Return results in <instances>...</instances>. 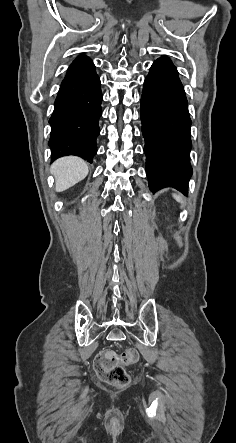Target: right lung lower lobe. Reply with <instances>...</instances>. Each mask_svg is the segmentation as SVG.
<instances>
[{
	"label": "right lung lower lobe",
	"mask_w": 236,
	"mask_h": 443,
	"mask_svg": "<svg viewBox=\"0 0 236 443\" xmlns=\"http://www.w3.org/2000/svg\"><path fill=\"white\" fill-rule=\"evenodd\" d=\"M101 83L95 66L86 56H78L62 81L52 116L49 146L51 160L67 155L92 163L97 152L98 119L101 116Z\"/></svg>",
	"instance_id": "98d812e1"
}]
</instances>
